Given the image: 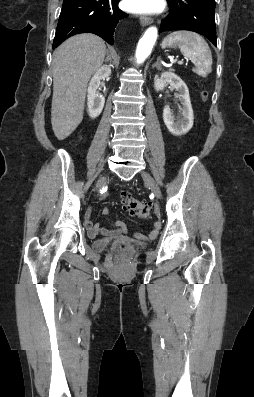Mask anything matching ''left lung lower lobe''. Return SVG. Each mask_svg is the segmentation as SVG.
<instances>
[{
	"instance_id": "obj_1",
	"label": "left lung lower lobe",
	"mask_w": 254,
	"mask_h": 397,
	"mask_svg": "<svg viewBox=\"0 0 254 397\" xmlns=\"http://www.w3.org/2000/svg\"><path fill=\"white\" fill-rule=\"evenodd\" d=\"M169 15L162 21L159 33L190 30L207 37L216 47L214 20L215 0H167Z\"/></svg>"
}]
</instances>
